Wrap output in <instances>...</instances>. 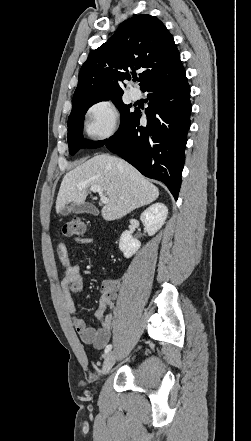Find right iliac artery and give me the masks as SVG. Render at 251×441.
<instances>
[{
  "label": "right iliac artery",
  "instance_id": "right-iliac-artery-1",
  "mask_svg": "<svg viewBox=\"0 0 251 441\" xmlns=\"http://www.w3.org/2000/svg\"><path fill=\"white\" fill-rule=\"evenodd\" d=\"M111 348H112L111 344L107 345L106 348H105L104 353L107 354L111 350Z\"/></svg>",
  "mask_w": 251,
  "mask_h": 441
}]
</instances>
